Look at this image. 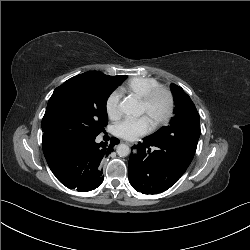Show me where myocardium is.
Returning a JSON list of instances; mask_svg holds the SVG:
<instances>
[{"instance_id":"1","label":"myocardium","mask_w":250,"mask_h":250,"mask_svg":"<svg viewBox=\"0 0 250 250\" xmlns=\"http://www.w3.org/2000/svg\"><path fill=\"white\" fill-rule=\"evenodd\" d=\"M163 95L167 101V108L165 113L152 121L154 127H161L167 124L174 115L175 111V98L173 92L164 86H158L150 90L141 98V104H143L147 109L151 106L153 101L159 96Z\"/></svg>"}]
</instances>
